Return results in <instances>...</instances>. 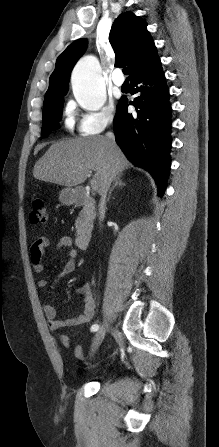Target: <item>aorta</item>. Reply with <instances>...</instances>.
<instances>
[{
    "label": "aorta",
    "mask_w": 219,
    "mask_h": 447,
    "mask_svg": "<svg viewBox=\"0 0 219 447\" xmlns=\"http://www.w3.org/2000/svg\"><path fill=\"white\" fill-rule=\"evenodd\" d=\"M73 93L78 104L89 111L100 110L106 101L99 61L92 55L78 61L71 76Z\"/></svg>",
    "instance_id": "762f6f07"
}]
</instances>
